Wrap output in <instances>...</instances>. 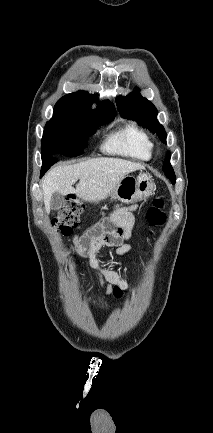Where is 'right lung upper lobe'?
<instances>
[{"label": "right lung upper lobe", "instance_id": "right-lung-upper-lobe-1", "mask_svg": "<svg viewBox=\"0 0 213 433\" xmlns=\"http://www.w3.org/2000/svg\"><path fill=\"white\" fill-rule=\"evenodd\" d=\"M97 102V96L85 91L67 94L60 98L54 108L71 111L92 120H111L115 117V108L110 101L100 103L93 110L90 106Z\"/></svg>", "mask_w": 213, "mask_h": 433}]
</instances>
